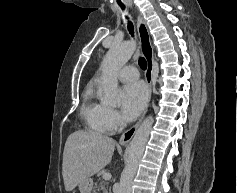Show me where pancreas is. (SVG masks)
Instances as JSON below:
<instances>
[{
	"instance_id": "obj_1",
	"label": "pancreas",
	"mask_w": 237,
	"mask_h": 193,
	"mask_svg": "<svg viewBox=\"0 0 237 193\" xmlns=\"http://www.w3.org/2000/svg\"><path fill=\"white\" fill-rule=\"evenodd\" d=\"M100 182L98 185H96L97 190H102L103 193H109L108 192V183H105L103 180L99 179ZM94 193H97L96 191Z\"/></svg>"
}]
</instances>
